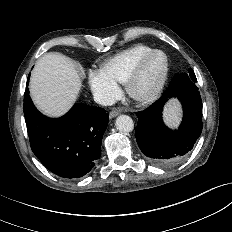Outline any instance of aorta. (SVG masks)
<instances>
[{"mask_svg": "<svg viewBox=\"0 0 232 232\" xmlns=\"http://www.w3.org/2000/svg\"><path fill=\"white\" fill-rule=\"evenodd\" d=\"M116 128L121 132H131L134 128L133 120L128 115H120L116 118Z\"/></svg>", "mask_w": 232, "mask_h": 232, "instance_id": "1", "label": "aorta"}]
</instances>
